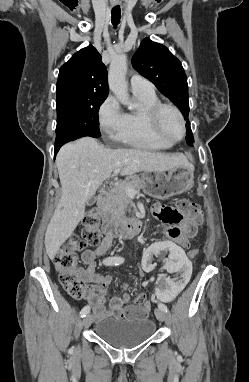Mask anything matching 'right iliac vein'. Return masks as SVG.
Masks as SVG:
<instances>
[{
	"label": "right iliac vein",
	"mask_w": 249,
	"mask_h": 382,
	"mask_svg": "<svg viewBox=\"0 0 249 382\" xmlns=\"http://www.w3.org/2000/svg\"><path fill=\"white\" fill-rule=\"evenodd\" d=\"M92 322V316L86 315L82 321V325L84 328H88L91 325Z\"/></svg>",
	"instance_id": "1"
}]
</instances>
